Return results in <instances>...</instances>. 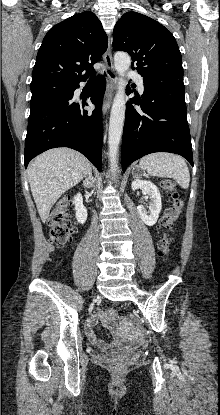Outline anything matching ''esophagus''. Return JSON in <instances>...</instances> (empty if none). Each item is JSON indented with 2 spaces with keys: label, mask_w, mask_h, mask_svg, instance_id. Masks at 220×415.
<instances>
[{
  "label": "esophagus",
  "mask_w": 220,
  "mask_h": 415,
  "mask_svg": "<svg viewBox=\"0 0 220 415\" xmlns=\"http://www.w3.org/2000/svg\"><path fill=\"white\" fill-rule=\"evenodd\" d=\"M104 62H105V67L102 70V73L106 76L107 78V87H106V92H105V96H104V101H103V115H106L110 105H111V101L113 98V94L114 91L116 89V81L114 79V77H112L109 72L113 73L114 72V65H113V59H112V53H111V42L109 41L108 43V47L107 50L104 53Z\"/></svg>",
  "instance_id": "obj_1"
}]
</instances>
